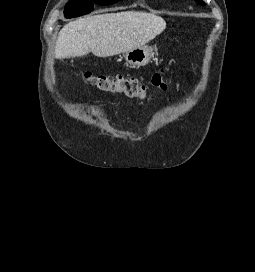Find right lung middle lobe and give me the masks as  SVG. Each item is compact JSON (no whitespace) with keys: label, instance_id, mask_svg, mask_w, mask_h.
Masks as SVG:
<instances>
[{"label":"right lung middle lobe","instance_id":"1","mask_svg":"<svg viewBox=\"0 0 255 272\" xmlns=\"http://www.w3.org/2000/svg\"><path fill=\"white\" fill-rule=\"evenodd\" d=\"M119 0H70L64 13L67 18L78 17L93 10V2L99 5H110Z\"/></svg>","mask_w":255,"mask_h":272}]
</instances>
